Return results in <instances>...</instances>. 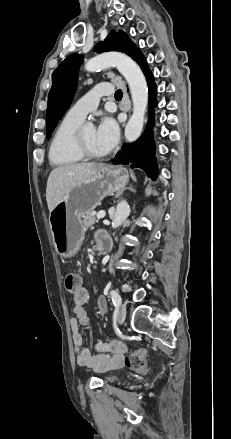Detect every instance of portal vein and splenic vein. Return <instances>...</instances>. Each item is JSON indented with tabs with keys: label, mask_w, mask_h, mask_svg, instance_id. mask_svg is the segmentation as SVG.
Returning a JSON list of instances; mask_svg holds the SVG:
<instances>
[{
	"label": "portal vein and splenic vein",
	"mask_w": 231,
	"mask_h": 439,
	"mask_svg": "<svg viewBox=\"0 0 231 439\" xmlns=\"http://www.w3.org/2000/svg\"><path fill=\"white\" fill-rule=\"evenodd\" d=\"M105 215H106L105 211H100V212L97 213V218L98 219H102V218L105 217Z\"/></svg>",
	"instance_id": "portal-vein-and-splenic-vein-1"
}]
</instances>
